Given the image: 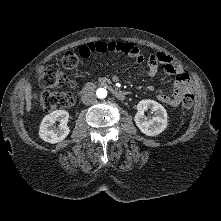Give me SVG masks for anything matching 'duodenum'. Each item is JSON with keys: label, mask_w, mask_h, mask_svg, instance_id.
Returning a JSON list of instances; mask_svg holds the SVG:
<instances>
[{"label": "duodenum", "mask_w": 221, "mask_h": 221, "mask_svg": "<svg viewBox=\"0 0 221 221\" xmlns=\"http://www.w3.org/2000/svg\"><path fill=\"white\" fill-rule=\"evenodd\" d=\"M98 85L107 88L117 99L119 100H125L127 97V94L125 91L117 87L114 83L107 79H101L98 81ZM94 85L92 83H87L84 86L83 92L87 93L90 92L93 89Z\"/></svg>", "instance_id": "obj_1"}]
</instances>
